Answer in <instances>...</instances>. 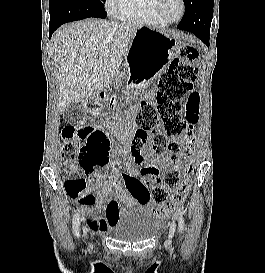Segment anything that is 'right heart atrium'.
Listing matches in <instances>:
<instances>
[{"label":"right heart atrium","mask_w":265,"mask_h":273,"mask_svg":"<svg viewBox=\"0 0 265 273\" xmlns=\"http://www.w3.org/2000/svg\"><path fill=\"white\" fill-rule=\"evenodd\" d=\"M121 3L122 0H105V8L110 14L116 15Z\"/></svg>","instance_id":"right-heart-atrium-1"}]
</instances>
